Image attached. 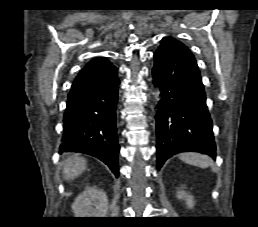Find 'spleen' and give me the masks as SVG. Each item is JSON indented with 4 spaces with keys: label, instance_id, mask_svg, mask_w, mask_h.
<instances>
[{
    "label": "spleen",
    "instance_id": "3e777b00",
    "mask_svg": "<svg viewBox=\"0 0 258 227\" xmlns=\"http://www.w3.org/2000/svg\"><path fill=\"white\" fill-rule=\"evenodd\" d=\"M179 158L187 163L201 168L212 167V170L215 171L213 161L206 155L199 153H184L179 156Z\"/></svg>",
    "mask_w": 258,
    "mask_h": 227
}]
</instances>
